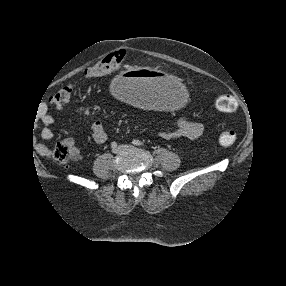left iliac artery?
<instances>
[{"label": "left iliac artery", "mask_w": 286, "mask_h": 286, "mask_svg": "<svg viewBox=\"0 0 286 286\" xmlns=\"http://www.w3.org/2000/svg\"><path fill=\"white\" fill-rule=\"evenodd\" d=\"M132 143H133L134 145H136V146L144 145V143H142L141 141H139V140H137V139H134V140L132 141Z\"/></svg>", "instance_id": "44dca946"}]
</instances>
